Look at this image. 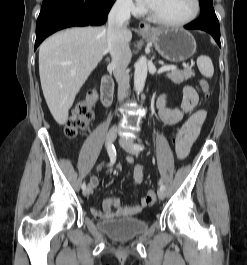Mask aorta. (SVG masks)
Masks as SVG:
<instances>
[{
	"label": "aorta",
	"mask_w": 247,
	"mask_h": 265,
	"mask_svg": "<svg viewBox=\"0 0 247 265\" xmlns=\"http://www.w3.org/2000/svg\"><path fill=\"white\" fill-rule=\"evenodd\" d=\"M147 71V59L146 57L142 56L138 59L134 71V87L138 93L142 92L145 86Z\"/></svg>",
	"instance_id": "aorta-1"
}]
</instances>
